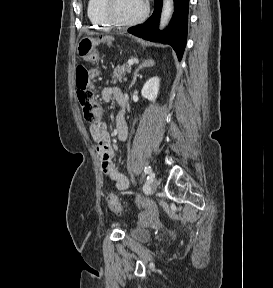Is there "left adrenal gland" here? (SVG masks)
<instances>
[{
	"label": "left adrenal gland",
	"mask_w": 273,
	"mask_h": 288,
	"mask_svg": "<svg viewBox=\"0 0 273 288\" xmlns=\"http://www.w3.org/2000/svg\"><path fill=\"white\" fill-rule=\"evenodd\" d=\"M154 64H155V63H154V61H153L152 59H148V60L143 61V62L139 65V67L135 70L133 80H132V82H131V84H130L129 87L131 88V87L134 85L137 77L139 76V75H138L139 70H141V69L144 68V67H151V66H153Z\"/></svg>",
	"instance_id": "obj_1"
}]
</instances>
